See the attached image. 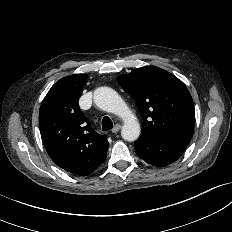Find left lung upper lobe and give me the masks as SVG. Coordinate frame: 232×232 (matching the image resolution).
<instances>
[{
    "instance_id": "left-lung-upper-lobe-1",
    "label": "left lung upper lobe",
    "mask_w": 232,
    "mask_h": 232,
    "mask_svg": "<svg viewBox=\"0 0 232 232\" xmlns=\"http://www.w3.org/2000/svg\"><path fill=\"white\" fill-rule=\"evenodd\" d=\"M135 100L143 117L141 135L186 136L192 138L195 110L192 97L173 74L145 66L117 78Z\"/></svg>"
}]
</instances>
